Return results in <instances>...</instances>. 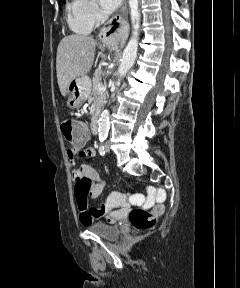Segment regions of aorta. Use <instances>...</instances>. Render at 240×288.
Wrapping results in <instances>:
<instances>
[{"mask_svg":"<svg viewBox=\"0 0 240 288\" xmlns=\"http://www.w3.org/2000/svg\"><path fill=\"white\" fill-rule=\"evenodd\" d=\"M128 2L133 32L132 37L130 38L122 54L121 63L118 68L119 77H124L125 74L129 71V69L133 66L138 51V36L140 28L139 0H129ZM109 118L110 112L105 109L101 113L98 122V134L101 141H104L108 136Z\"/></svg>","mask_w":240,"mask_h":288,"instance_id":"obj_1","label":"aorta"}]
</instances>
